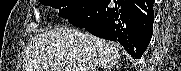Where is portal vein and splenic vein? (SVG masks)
<instances>
[{"label":"portal vein and splenic vein","instance_id":"18ae733b","mask_svg":"<svg viewBox=\"0 0 181 71\" xmlns=\"http://www.w3.org/2000/svg\"><path fill=\"white\" fill-rule=\"evenodd\" d=\"M65 71H74V69L71 68V67H66V68H65Z\"/></svg>","mask_w":181,"mask_h":71}]
</instances>
